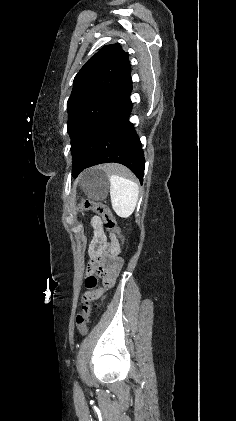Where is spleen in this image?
Returning <instances> with one entry per match:
<instances>
[{
  "label": "spleen",
  "instance_id": "1",
  "mask_svg": "<svg viewBox=\"0 0 236 421\" xmlns=\"http://www.w3.org/2000/svg\"><path fill=\"white\" fill-rule=\"evenodd\" d=\"M110 196L113 211L118 217H130L134 213L139 196V186L130 178L111 174Z\"/></svg>",
  "mask_w": 236,
  "mask_h": 421
}]
</instances>
